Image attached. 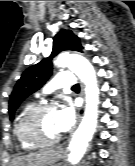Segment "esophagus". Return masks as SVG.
I'll return each mask as SVG.
<instances>
[{
    "label": "esophagus",
    "instance_id": "1",
    "mask_svg": "<svg viewBox=\"0 0 135 166\" xmlns=\"http://www.w3.org/2000/svg\"><path fill=\"white\" fill-rule=\"evenodd\" d=\"M81 93H82V95L84 94V87H83V85H81ZM83 113H84V105L81 107V109L79 111V118L82 117Z\"/></svg>",
    "mask_w": 135,
    "mask_h": 166
}]
</instances>
